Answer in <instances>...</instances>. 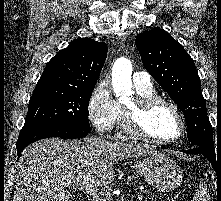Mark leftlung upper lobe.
I'll return each instance as SVG.
<instances>
[{
    "mask_svg": "<svg viewBox=\"0 0 221 201\" xmlns=\"http://www.w3.org/2000/svg\"><path fill=\"white\" fill-rule=\"evenodd\" d=\"M142 63L183 111L188 140L215 151L212 127L193 59L166 31L155 28L136 37Z\"/></svg>",
    "mask_w": 221,
    "mask_h": 201,
    "instance_id": "left-lung-upper-lobe-1",
    "label": "left lung upper lobe"
}]
</instances>
